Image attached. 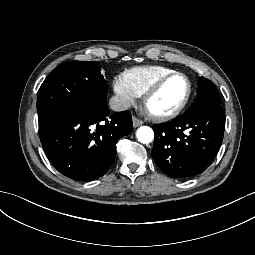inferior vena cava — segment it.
Here are the masks:
<instances>
[{
  "mask_svg": "<svg viewBox=\"0 0 255 255\" xmlns=\"http://www.w3.org/2000/svg\"><path fill=\"white\" fill-rule=\"evenodd\" d=\"M110 107L114 111H124L130 108V100L126 96L115 95L109 101Z\"/></svg>",
  "mask_w": 255,
  "mask_h": 255,
  "instance_id": "602c4592",
  "label": "inferior vena cava"
}]
</instances>
